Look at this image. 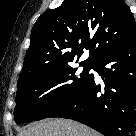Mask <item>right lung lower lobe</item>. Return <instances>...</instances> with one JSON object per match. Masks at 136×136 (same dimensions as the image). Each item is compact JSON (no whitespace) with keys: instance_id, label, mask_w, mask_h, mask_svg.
<instances>
[{"instance_id":"right-lung-lower-lobe-1","label":"right lung lower lobe","mask_w":136,"mask_h":136,"mask_svg":"<svg viewBox=\"0 0 136 136\" xmlns=\"http://www.w3.org/2000/svg\"><path fill=\"white\" fill-rule=\"evenodd\" d=\"M105 87L94 76L70 101L50 114L79 121L105 136L136 132V36L104 53L93 63Z\"/></svg>"}]
</instances>
